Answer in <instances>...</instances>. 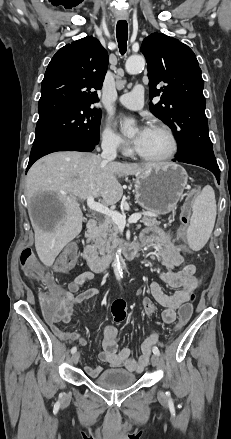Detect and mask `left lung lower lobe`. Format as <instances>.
<instances>
[{
  "label": "left lung lower lobe",
  "mask_w": 231,
  "mask_h": 439,
  "mask_svg": "<svg viewBox=\"0 0 231 439\" xmlns=\"http://www.w3.org/2000/svg\"><path fill=\"white\" fill-rule=\"evenodd\" d=\"M172 161L184 162L206 168L216 176L218 182L220 181V169L215 158L212 156L201 153H189L182 156H176Z\"/></svg>",
  "instance_id": "0a47b994"
}]
</instances>
